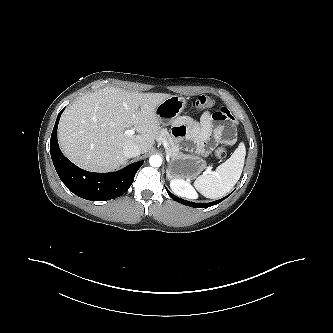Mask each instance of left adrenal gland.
<instances>
[{
  "mask_svg": "<svg viewBox=\"0 0 333 333\" xmlns=\"http://www.w3.org/2000/svg\"><path fill=\"white\" fill-rule=\"evenodd\" d=\"M166 175H167V178H168V179H171V176H170V173H169V170H168V169L166 170Z\"/></svg>",
  "mask_w": 333,
  "mask_h": 333,
  "instance_id": "1",
  "label": "left adrenal gland"
}]
</instances>
